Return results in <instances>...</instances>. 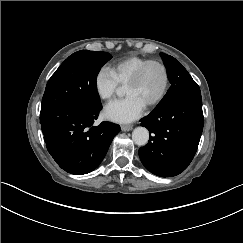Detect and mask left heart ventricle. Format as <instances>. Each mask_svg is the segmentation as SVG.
I'll use <instances>...</instances> for the list:
<instances>
[{"label": "left heart ventricle", "instance_id": "obj_1", "mask_svg": "<svg viewBox=\"0 0 243 243\" xmlns=\"http://www.w3.org/2000/svg\"><path fill=\"white\" fill-rule=\"evenodd\" d=\"M165 83L163 69L157 64H151L136 83L125 86V94L138 96L147 106L161 95Z\"/></svg>", "mask_w": 243, "mask_h": 243}]
</instances>
